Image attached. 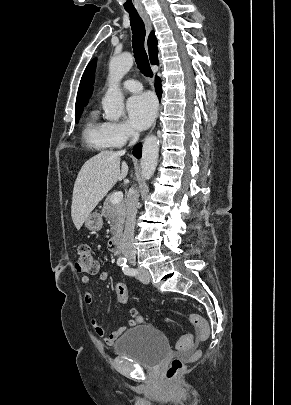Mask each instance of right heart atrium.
<instances>
[{"instance_id":"1","label":"right heart atrium","mask_w":291,"mask_h":405,"mask_svg":"<svg viewBox=\"0 0 291 405\" xmlns=\"http://www.w3.org/2000/svg\"><path fill=\"white\" fill-rule=\"evenodd\" d=\"M106 132L113 147L123 146L135 135L133 129L123 122L106 123Z\"/></svg>"}]
</instances>
